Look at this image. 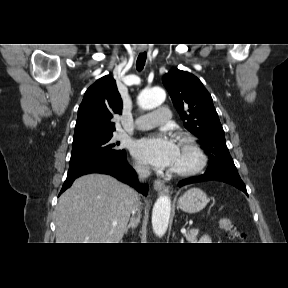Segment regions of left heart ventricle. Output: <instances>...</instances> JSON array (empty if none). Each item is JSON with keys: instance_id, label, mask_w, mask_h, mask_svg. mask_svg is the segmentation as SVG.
<instances>
[{"instance_id": "obj_1", "label": "left heart ventricle", "mask_w": 288, "mask_h": 288, "mask_svg": "<svg viewBox=\"0 0 288 288\" xmlns=\"http://www.w3.org/2000/svg\"><path fill=\"white\" fill-rule=\"evenodd\" d=\"M192 162L193 158L189 151L179 143L177 157L171 168L185 167L190 165Z\"/></svg>"}]
</instances>
